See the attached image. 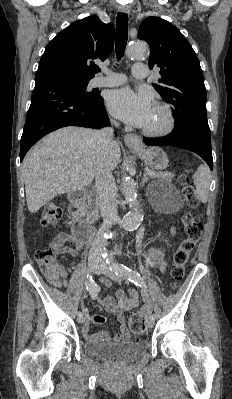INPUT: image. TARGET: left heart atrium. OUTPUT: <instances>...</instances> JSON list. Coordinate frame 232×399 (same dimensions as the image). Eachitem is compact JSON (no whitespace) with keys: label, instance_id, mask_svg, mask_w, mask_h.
Returning <instances> with one entry per match:
<instances>
[{"label":"left heart atrium","instance_id":"left-heart-atrium-1","mask_svg":"<svg viewBox=\"0 0 232 399\" xmlns=\"http://www.w3.org/2000/svg\"><path fill=\"white\" fill-rule=\"evenodd\" d=\"M107 108L115 118L142 128L152 117L154 104L146 93L124 88L110 93Z\"/></svg>","mask_w":232,"mask_h":399}]
</instances>
